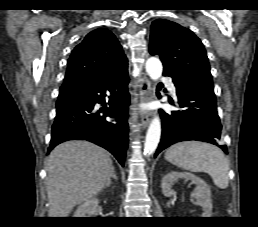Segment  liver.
Returning <instances> with one entry per match:
<instances>
[{"instance_id":"liver-1","label":"liver","mask_w":258,"mask_h":227,"mask_svg":"<svg viewBox=\"0 0 258 227\" xmlns=\"http://www.w3.org/2000/svg\"><path fill=\"white\" fill-rule=\"evenodd\" d=\"M113 168L109 153L90 142L68 141L54 148L46 162L49 217H67L99 194Z\"/></svg>"}]
</instances>
